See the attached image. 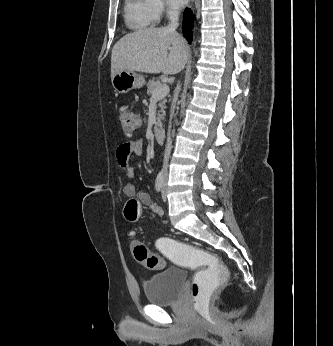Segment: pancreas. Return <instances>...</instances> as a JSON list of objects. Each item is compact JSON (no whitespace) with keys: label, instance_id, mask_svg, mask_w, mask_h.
Instances as JSON below:
<instances>
[{"label":"pancreas","instance_id":"1","mask_svg":"<svg viewBox=\"0 0 333 346\" xmlns=\"http://www.w3.org/2000/svg\"><path fill=\"white\" fill-rule=\"evenodd\" d=\"M164 84L162 83V81L160 79H150L148 84H147V88H148V93L151 95V99H152V95L153 93L159 89L160 87H162ZM166 100L161 98L159 99V103L158 106L160 107V110L157 113V118H156V122H155V130L160 127L162 125L161 120L164 118L165 116V111L164 109L166 108L165 106Z\"/></svg>","mask_w":333,"mask_h":346}]
</instances>
